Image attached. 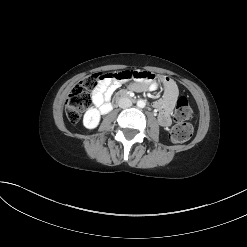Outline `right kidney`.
Listing matches in <instances>:
<instances>
[{"instance_id":"ca27d5eb","label":"right kidney","mask_w":247,"mask_h":247,"mask_svg":"<svg viewBox=\"0 0 247 247\" xmlns=\"http://www.w3.org/2000/svg\"><path fill=\"white\" fill-rule=\"evenodd\" d=\"M100 122V112L96 108H89L83 117V125L88 129H94Z\"/></svg>"}]
</instances>
